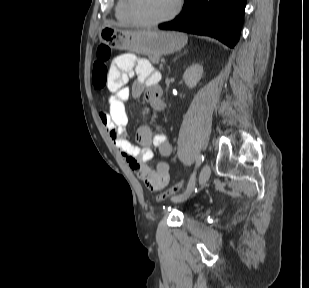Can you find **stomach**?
Here are the masks:
<instances>
[{
    "instance_id": "obj_1",
    "label": "stomach",
    "mask_w": 309,
    "mask_h": 288,
    "mask_svg": "<svg viewBox=\"0 0 309 288\" xmlns=\"http://www.w3.org/2000/svg\"><path fill=\"white\" fill-rule=\"evenodd\" d=\"M100 42L148 57H160L180 50L187 43L185 34L175 31L125 30L104 26L99 31Z\"/></svg>"
}]
</instances>
